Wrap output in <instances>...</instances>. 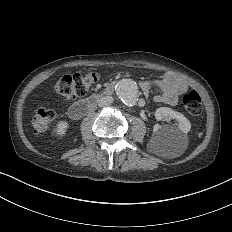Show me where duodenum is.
I'll use <instances>...</instances> for the list:
<instances>
[{
	"instance_id": "1",
	"label": "duodenum",
	"mask_w": 232,
	"mask_h": 232,
	"mask_svg": "<svg viewBox=\"0 0 232 232\" xmlns=\"http://www.w3.org/2000/svg\"><path fill=\"white\" fill-rule=\"evenodd\" d=\"M115 85L116 83L112 82L108 84L101 92L95 93L90 97L73 104L68 110L69 116L75 120L84 117L87 113L90 112L92 107L102 96L111 95L113 93Z\"/></svg>"
}]
</instances>
